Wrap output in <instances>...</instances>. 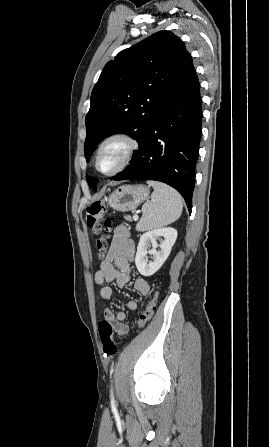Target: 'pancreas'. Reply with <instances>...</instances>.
<instances>
[{
  "instance_id": "cf45deb5",
  "label": "pancreas",
  "mask_w": 269,
  "mask_h": 447,
  "mask_svg": "<svg viewBox=\"0 0 269 447\" xmlns=\"http://www.w3.org/2000/svg\"><path fill=\"white\" fill-rule=\"evenodd\" d=\"M125 220H128V222H132L131 216H124Z\"/></svg>"
}]
</instances>
